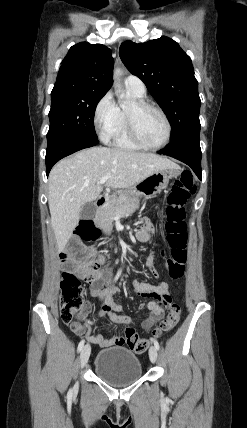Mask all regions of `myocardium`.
Wrapping results in <instances>:
<instances>
[{"label": "myocardium", "mask_w": 247, "mask_h": 428, "mask_svg": "<svg viewBox=\"0 0 247 428\" xmlns=\"http://www.w3.org/2000/svg\"><path fill=\"white\" fill-rule=\"evenodd\" d=\"M145 108H150V109H153L156 112H158L165 122L166 136H165V139L160 144L151 145V144L144 142L136 130L135 122H134V114L136 111H139V110H142ZM125 120H126V127H127L129 137L131 138V140L135 144H137L141 148L149 149V150H159V149H162L165 146H167L171 140V136H172L171 121H170L168 115L166 114V112L161 107H159L158 105H156L152 102L145 101V100L134 101V103L132 104V109L131 110H128V109L125 110Z\"/></svg>", "instance_id": "obj_1"}]
</instances>
